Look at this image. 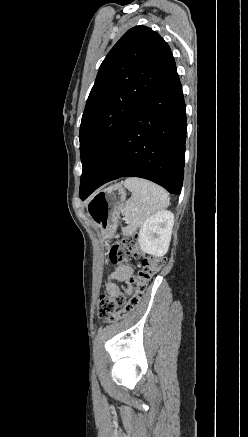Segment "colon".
Returning a JSON list of instances; mask_svg holds the SVG:
<instances>
[{
    "instance_id": "colon-1",
    "label": "colon",
    "mask_w": 248,
    "mask_h": 437,
    "mask_svg": "<svg viewBox=\"0 0 248 437\" xmlns=\"http://www.w3.org/2000/svg\"><path fill=\"white\" fill-rule=\"evenodd\" d=\"M137 256V239L130 236L115 243L110 251L113 264H128ZM165 265V259L157 256H144L141 259V271L131 282H135V291L127 297L124 293L114 296L102 294L98 299V314L108 322L125 319L138 306L151 278Z\"/></svg>"
}]
</instances>
